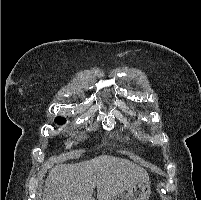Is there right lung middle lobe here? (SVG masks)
I'll list each match as a JSON object with an SVG mask.
<instances>
[{
  "mask_svg": "<svg viewBox=\"0 0 201 200\" xmlns=\"http://www.w3.org/2000/svg\"><path fill=\"white\" fill-rule=\"evenodd\" d=\"M55 122L58 123V124H63V123L65 122V119L62 118V117H57V118L55 119Z\"/></svg>",
  "mask_w": 201,
  "mask_h": 200,
  "instance_id": "dd1d6c3e",
  "label": "right lung middle lobe"
}]
</instances>
